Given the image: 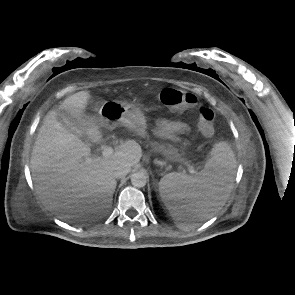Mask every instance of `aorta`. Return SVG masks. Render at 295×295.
Here are the masks:
<instances>
[{"mask_svg": "<svg viewBox=\"0 0 295 295\" xmlns=\"http://www.w3.org/2000/svg\"><path fill=\"white\" fill-rule=\"evenodd\" d=\"M147 174L143 171L135 172L131 175V183L134 187H144L147 183Z\"/></svg>", "mask_w": 295, "mask_h": 295, "instance_id": "762f6f07", "label": "aorta"}]
</instances>
